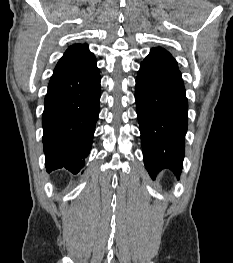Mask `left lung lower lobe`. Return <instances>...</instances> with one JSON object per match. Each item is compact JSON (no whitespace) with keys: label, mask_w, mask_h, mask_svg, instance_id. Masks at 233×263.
Listing matches in <instances>:
<instances>
[{"label":"left lung lower lobe","mask_w":233,"mask_h":263,"mask_svg":"<svg viewBox=\"0 0 233 263\" xmlns=\"http://www.w3.org/2000/svg\"><path fill=\"white\" fill-rule=\"evenodd\" d=\"M135 98L144 163L150 176L164 168L182 171L188 101L176 60L152 48L136 78Z\"/></svg>","instance_id":"0a47b994"}]
</instances>
